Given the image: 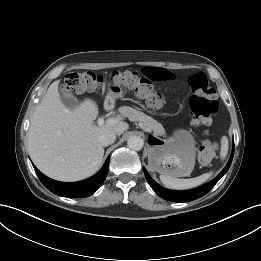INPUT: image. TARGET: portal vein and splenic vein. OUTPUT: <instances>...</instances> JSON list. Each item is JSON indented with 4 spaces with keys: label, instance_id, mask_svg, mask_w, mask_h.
<instances>
[{
    "label": "portal vein and splenic vein",
    "instance_id": "portal-vein-and-splenic-vein-1",
    "mask_svg": "<svg viewBox=\"0 0 261 261\" xmlns=\"http://www.w3.org/2000/svg\"><path fill=\"white\" fill-rule=\"evenodd\" d=\"M119 120H120L119 118H109L105 122V120L103 118H99L97 123H98L99 126H104V124H106V125H115V124H117L119 122Z\"/></svg>",
    "mask_w": 261,
    "mask_h": 261
}]
</instances>
